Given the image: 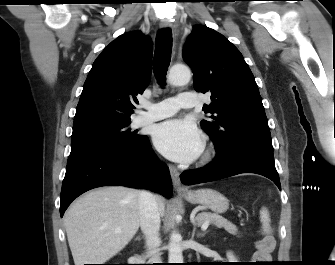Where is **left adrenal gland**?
Segmentation results:
<instances>
[{
    "label": "left adrenal gland",
    "instance_id": "left-adrenal-gland-1",
    "mask_svg": "<svg viewBox=\"0 0 335 265\" xmlns=\"http://www.w3.org/2000/svg\"><path fill=\"white\" fill-rule=\"evenodd\" d=\"M206 233L207 232H203V233L197 234V237H204Z\"/></svg>",
    "mask_w": 335,
    "mask_h": 265
}]
</instances>
